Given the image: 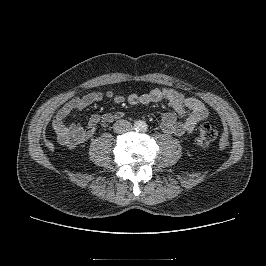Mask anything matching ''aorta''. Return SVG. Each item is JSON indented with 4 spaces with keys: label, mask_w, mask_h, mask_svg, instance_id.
<instances>
[{
    "label": "aorta",
    "mask_w": 266,
    "mask_h": 266,
    "mask_svg": "<svg viewBox=\"0 0 266 266\" xmlns=\"http://www.w3.org/2000/svg\"><path fill=\"white\" fill-rule=\"evenodd\" d=\"M136 129L137 130H145L146 129V123L143 121H138V123H136Z\"/></svg>",
    "instance_id": "762f6f07"
}]
</instances>
